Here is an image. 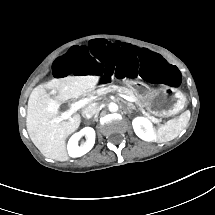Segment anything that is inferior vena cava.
I'll list each match as a JSON object with an SVG mask.
<instances>
[{"label": "inferior vena cava", "instance_id": "602c4592", "mask_svg": "<svg viewBox=\"0 0 215 215\" xmlns=\"http://www.w3.org/2000/svg\"><path fill=\"white\" fill-rule=\"evenodd\" d=\"M97 113V107L93 104L87 105L82 109V116L85 119L92 118Z\"/></svg>", "mask_w": 215, "mask_h": 215}]
</instances>
